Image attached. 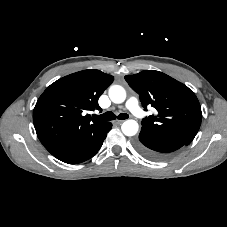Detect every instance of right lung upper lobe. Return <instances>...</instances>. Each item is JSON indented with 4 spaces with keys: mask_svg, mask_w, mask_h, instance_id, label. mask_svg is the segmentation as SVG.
<instances>
[{
    "mask_svg": "<svg viewBox=\"0 0 227 227\" xmlns=\"http://www.w3.org/2000/svg\"><path fill=\"white\" fill-rule=\"evenodd\" d=\"M113 80L99 70H83L60 78L43 92L33 121L39 140L52 155L108 123L95 121L86 112L101 109L98 99Z\"/></svg>",
    "mask_w": 227,
    "mask_h": 227,
    "instance_id": "obj_1",
    "label": "right lung upper lobe"
}]
</instances>
